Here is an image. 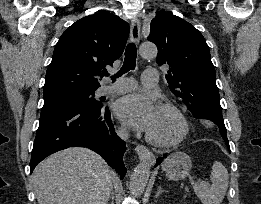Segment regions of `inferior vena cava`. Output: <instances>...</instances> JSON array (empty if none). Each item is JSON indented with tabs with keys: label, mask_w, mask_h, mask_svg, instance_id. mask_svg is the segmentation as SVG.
I'll use <instances>...</instances> for the list:
<instances>
[{
	"label": "inferior vena cava",
	"mask_w": 261,
	"mask_h": 204,
	"mask_svg": "<svg viewBox=\"0 0 261 204\" xmlns=\"http://www.w3.org/2000/svg\"><path fill=\"white\" fill-rule=\"evenodd\" d=\"M118 135L123 139V140H127L129 137L128 131L125 128H121L118 131Z\"/></svg>",
	"instance_id": "inferior-vena-cava-1"
}]
</instances>
